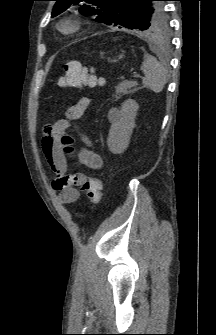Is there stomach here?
Here are the masks:
<instances>
[{"label":"stomach","instance_id":"0dacf381","mask_svg":"<svg viewBox=\"0 0 216 335\" xmlns=\"http://www.w3.org/2000/svg\"><path fill=\"white\" fill-rule=\"evenodd\" d=\"M122 58V56H119V59H121ZM118 60H116V59H114V60H112L111 62H117Z\"/></svg>","mask_w":216,"mask_h":335}]
</instances>
